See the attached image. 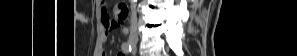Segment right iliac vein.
I'll return each mask as SVG.
<instances>
[{
  "mask_svg": "<svg viewBox=\"0 0 297 56\" xmlns=\"http://www.w3.org/2000/svg\"><path fill=\"white\" fill-rule=\"evenodd\" d=\"M129 42H130L132 45H134V44L137 43V38H135V37H130Z\"/></svg>",
  "mask_w": 297,
  "mask_h": 56,
  "instance_id": "right-iliac-vein-1",
  "label": "right iliac vein"
}]
</instances>
